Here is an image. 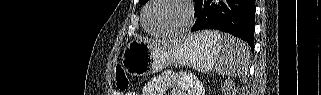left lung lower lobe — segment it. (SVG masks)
Returning <instances> with one entry per match:
<instances>
[{
    "label": "left lung lower lobe",
    "mask_w": 321,
    "mask_h": 95,
    "mask_svg": "<svg viewBox=\"0 0 321 95\" xmlns=\"http://www.w3.org/2000/svg\"><path fill=\"white\" fill-rule=\"evenodd\" d=\"M255 10L254 0H195L197 20L191 31L221 30L254 48Z\"/></svg>",
    "instance_id": "obj_1"
}]
</instances>
